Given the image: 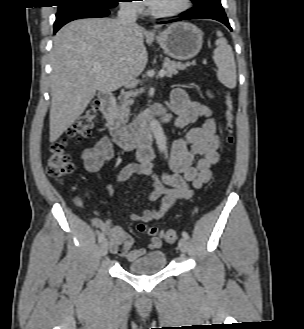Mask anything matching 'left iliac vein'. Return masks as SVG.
<instances>
[{
	"instance_id": "1",
	"label": "left iliac vein",
	"mask_w": 304,
	"mask_h": 329,
	"mask_svg": "<svg viewBox=\"0 0 304 329\" xmlns=\"http://www.w3.org/2000/svg\"><path fill=\"white\" fill-rule=\"evenodd\" d=\"M178 247H179V249H180L181 252H186L187 251V247H188L187 239L181 238L179 240Z\"/></svg>"
}]
</instances>
